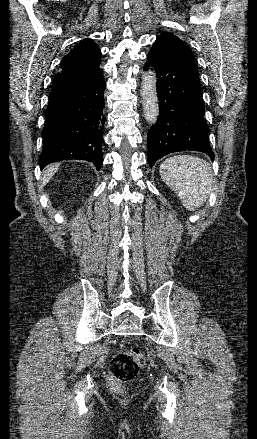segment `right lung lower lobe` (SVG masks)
Masks as SVG:
<instances>
[{
  "instance_id": "1",
  "label": "right lung lower lobe",
  "mask_w": 257,
  "mask_h": 439,
  "mask_svg": "<svg viewBox=\"0 0 257 439\" xmlns=\"http://www.w3.org/2000/svg\"><path fill=\"white\" fill-rule=\"evenodd\" d=\"M103 71L52 89L42 132L40 167L68 160H86L99 170L105 116Z\"/></svg>"
}]
</instances>
